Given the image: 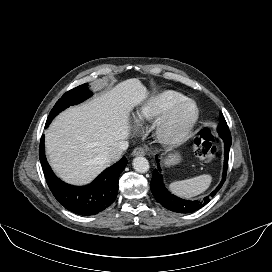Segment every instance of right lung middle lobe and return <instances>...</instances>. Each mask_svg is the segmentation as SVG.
Wrapping results in <instances>:
<instances>
[{"mask_svg":"<svg viewBox=\"0 0 272 272\" xmlns=\"http://www.w3.org/2000/svg\"><path fill=\"white\" fill-rule=\"evenodd\" d=\"M92 95V92L88 89V84L80 85L68 92H66L55 104L51 110L46 125H49L52 119L62 110L68 108L71 105L78 104Z\"/></svg>","mask_w":272,"mask_h":272,"instance_id":"dd1d6c3e","label":"right lung middle lobe"}]
</instances>
